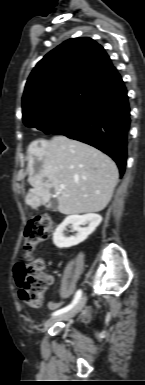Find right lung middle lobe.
Segmentation results:
<instances>
[{
    "mask_svg": "<svg viewBox=\"0 0 145 385\" xmlns=\"http://www.w3.org/2000/svg\"><path fill=\"white\" fill-rule=\"evenodd\" d=\"M95 91L72 89L37 106L23 116L27 127H35L46 134L67 123L94 96Z\"/></svg>",
    "mask_w": 145,
    "mask_h": 385,
    "instance_id": "right-lung-middle-lobe-1",
    "label": "right lung middle lobe"
}]
</instances>
